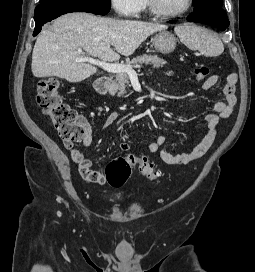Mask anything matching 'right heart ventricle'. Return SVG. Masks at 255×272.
I'll use <instances>...</instances> for the list:
<instances>
[{
	"label": "right heart ventricle",
	"mask_w": 255,
	"mask_h": 272,
	"mask_svg": "<svg viewBox=\"0 0 255 272\" xmlns=\"http://www.w3.org/2000/svg\"><path fill=\"white\" fill-rule=\"evenodd\" d=\"M146 8H147V2H146V0H141L140 11H145Z\"/></svg>",
	"instance_id": "1"
}]
</instances>
